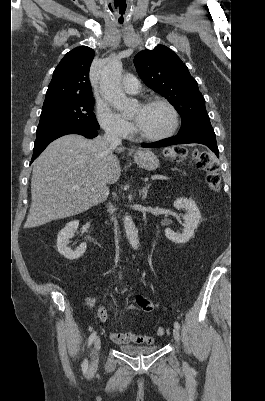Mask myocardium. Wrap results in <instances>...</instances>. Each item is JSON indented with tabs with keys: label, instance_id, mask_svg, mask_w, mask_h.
Instances as JSON below:
<instances>
[{
	"label": "myocardium",
	"instance_id": "myocardium-1",
	"mask_svg": "<svg viewBox=\"0 0 265 401\" xmlns=\"http://www.w3.org/2000/svg\"><path fill=\"white\" fill-rule=\"evenodd\" d=\"M155 104H159V105L166 107L171 113L172 121H171L170 126L166 130H164L163 132H161L157 135H139V138H141L143 140H147V141L161 140L163 138H166V137L172 135L178 128L179 114H178L177 109L170 102H168L167 100L161 99V98L148 99L143 103V106H150V105H155ZM134 128H135V131L138 133L136 124H134Z\"/></svg>",
	"mask_w": 265,
	"mask_h": 401
}]
</instances>
